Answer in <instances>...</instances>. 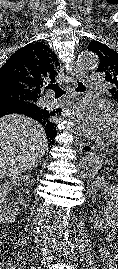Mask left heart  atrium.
Returning a JSON list of instances; mask_svg holds the SVG:
<instances>
[{
    "label": "left heart atrium",
    "instance_id": "39dd6f15",
    "mask_svg": "<svg viewBox=\"0 0 118 269\" xmlns=\"http://www.w3.org/2000/svg\"><path fill=\"white\" fill-rule=\"evenodd\" d=\"M113 117L106 104L84 101L74 107L70 120L81 134L100 138L110 133Z\"/></svg>",
    "mask_w": 118,
    "mask_h": 269
}]
</instances>
